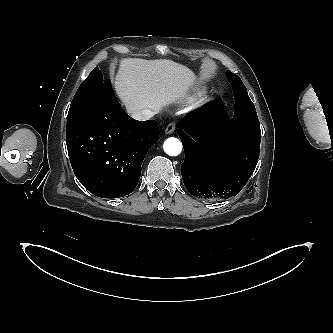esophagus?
I'll use <instances>...</instances> for the list:
<instances>
[{"mask_svg": "<svg viewBox=\"0 0 333 333\" xmlns=\"http://www.w3.org/2000/svg\"><path fill=\"white\" fill-rule=\"evenodd\" d=\"M174 130H175V123L172 122L165 128V133L172 134L174 132Z\"/></svg>", "mask_w": 333, "mask_h": 333, "instance_id": "34e87169", "label": "esophagus"}]
</instances>
